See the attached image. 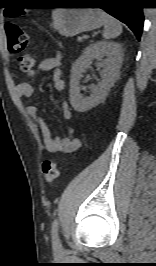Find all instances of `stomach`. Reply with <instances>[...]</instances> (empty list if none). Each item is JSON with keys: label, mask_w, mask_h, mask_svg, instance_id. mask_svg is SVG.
Instances as JSON below:
<instances>
[{"label": "stomach", "mask_w": 156, "mask_h": 266, "mask_svg": "<svg viewBox=\"0 0 156 266\" xmlns=\"http://www.w3.org/2000/svg\"><path fill=\"white\" fill-rule=\"evenodd\" d=\"M71 7H83L78 3H67ZM99 9L58 8L52 13V26L63 36H75L97 29L103 25Z\"/></svg>", "instance_id": "stomach-1"}]
</instances>
